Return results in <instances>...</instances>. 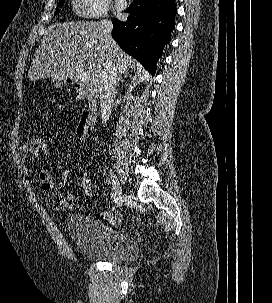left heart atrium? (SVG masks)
Instances as JSON below:
<instances>
[{"label": "left heart atrium", "mask_w": 272, "mask_h": 303, "mask_svg": "<svg viewBox=\"0 0 272 303\" xmlns=\"http://www.w3.org/2000/svg\"><path fill=\"white\" fill-rule=\"evenodd\" d=\"M117 8H118V9H121V8H122V5H121V4H118Z\"/></svg>", "instance_id": "obj_1"}]
</instances>
